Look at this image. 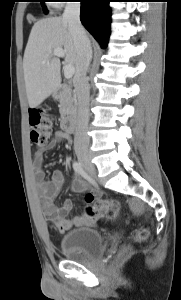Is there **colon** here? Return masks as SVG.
I'll list each match as a JSON object with an SVG mask.
<instances>
[{"mask_svg":"<svg viewBox=\"0 0 181 300\" xmlns=\"http://www.w3.org/2000/svg\"><path fill=\"white\" fill-rule=\"evenodd\" d=\"M29 124L31 127V142L38 147L45 146L50 136L53 124L52 118L44 111H31L29 113ZM87 203L86 215L95 220L114 219L120 210V203L117 200H93ZM148 236V229L140 228L135 234V239L142 241L147 239Z\"/></svg>","mask_w":181,"mask_h":300,"instance_id":"obj_1","label":"colon"}]
</instances>
